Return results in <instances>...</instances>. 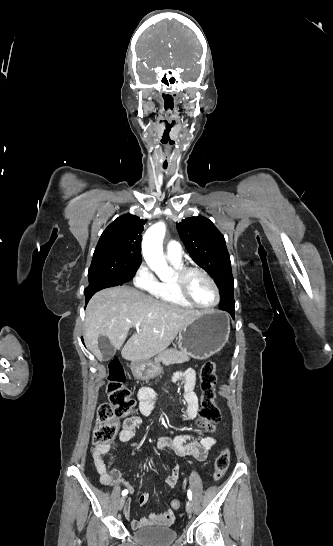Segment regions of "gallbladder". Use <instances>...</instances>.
<instances>
[{
  "instance_id": "obj_1",
  "label": "gallbladder",
  "mask_w": 333,
  "mask_h": 546,
  "mask_svg": "<svg viewBox=\"0 0 333 546\" xmlns=\"http://www.w3.org/2000/svg\"><path fill=\"white\" fill-rule=\"evenodd\" d=\"M98 348L102 354V360L105 362L111 360L116 354V349L111 345L106 336L99 337Z\"/></svg>"
}]
</instances>
